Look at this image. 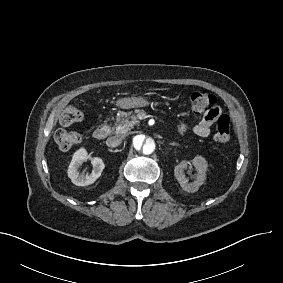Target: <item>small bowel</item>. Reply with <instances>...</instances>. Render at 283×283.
Listing matches in <instances>:
<instances>
[{"label": "small bowel", "instance_id": "small-bowel-1", "mask_svg": "<svg viewBox=\"0 0 283 283\" xmlns=\"http://www.w3.org/2000/svg\"><path fill=\"white\" fill-rule=\"evenodd\" d=\"M228 104L226 102L209 103L205 108V113L201 120L192 127L193 132L202 138L210 134V127L215 119L222 117L228 111Z\"/></svg>", "mask_w": 283, "mask_h": 283}]
</instances>
